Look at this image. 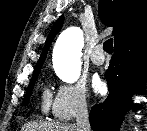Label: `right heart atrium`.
<instances>
[{
    "instance_id": "obj_1",
    "label": "right heart atrium",
    "mask_w": 147,
    "mask_h": 131,
    "mask_svg": "<svg viewBox=\"0 0 147 131\" xmlns=\"http://www.w3.org/2000/svg\"><path fill=\"white\" fill-rule=\"evenodd\" d=\"M89 98L84 83L61 84L55 93L51 110L63 122L70 121L88 111Z\"/></svg>"
}]
</instances>
